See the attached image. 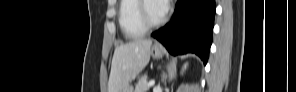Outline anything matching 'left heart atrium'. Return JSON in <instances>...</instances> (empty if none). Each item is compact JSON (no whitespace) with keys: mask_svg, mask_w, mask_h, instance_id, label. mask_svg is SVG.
<instances>
[{"mask_svg":"<svg viewBox=\"0 0 296 92\" xmlns=\"http://www.w3.org/2000/svg\"><path fill=\"white\" fill-rule=\"evenodd\" d=\"M155 3H156V7H157L159 14L163 17L169 8L168 1H158Z\"/></svg>","mask_w":296,"mask_h":92,"instance_id":"39dd6f15","label":"left heart atrium"}]
</instances>
